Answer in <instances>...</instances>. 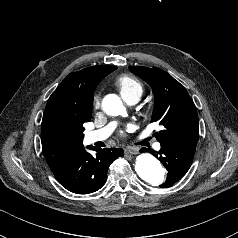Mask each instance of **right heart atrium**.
<instances>
[{"mask_svg": "<svg viewBox=\"0 0 238 238\" xmlns=\"http://www.w3.org/2000/svg\"><path fill=\"white\" fill-rule=\"evenodd\" d=\"M93 105L94 106L99 105V98H98V96H94V98H93Z\"/></svg>", "mask_w": 238, "mask_h": 238, "instance_id": "d8ad5b80", "label": "right heart atrium"}]
</instances>
